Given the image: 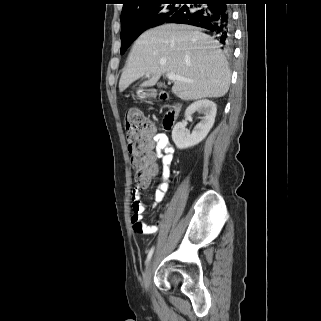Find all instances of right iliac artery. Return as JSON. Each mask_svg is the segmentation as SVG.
<instances>
[{
  "label": "right iliac artery",
  "instance_id": "right-iliac-artery-1",
  "mask_svg": "<svg viewBox=\"0 0 321 321\" xmlns=\"http://www.w3.org/2000/svg\"><path fill=\"white\" fill-rule=\"evenodd\" d=\"M153 252H154V247H152L150 249V251L148 252V255H147V258H146V264L150 261L152 255H153Z\"/></svg>",
  "mask_w": 321,
  "mask_h": 321
}]
</instances>
